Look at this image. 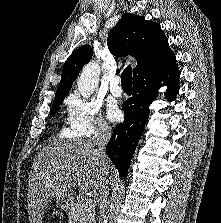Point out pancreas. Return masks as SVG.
Instances as JSON below:
<instances>
[{"label":"pancreas","mask_w":221,"mask_h":223,"mask_svg":"<svg viewBox=\"0 0 221 223\" xmlns=\"http://www.w3.org/2000/svg\"><path fill=\"white\" fill-rule=\"evenodd\" d=\"M70 223H93L95 221V205L86 204L85 200H78L69 210Z\"/></svg>","instance_id":"cf45deb5"}]
</instances>
